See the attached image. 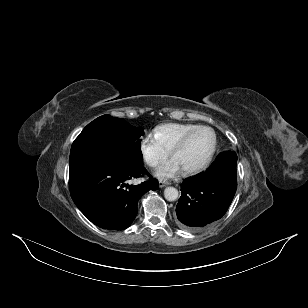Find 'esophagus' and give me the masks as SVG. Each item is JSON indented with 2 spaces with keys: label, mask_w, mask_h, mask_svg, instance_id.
I'll use <instances>...</instances> for the list:
<instances>
[{
  "label": "esophagus",
  "mask_w": 308,
  "mask_h": 308,
  "mask_svg": "<svg viewBox=\"0 0 308 308\" xmlns=\"http://www.w3.org/2000/svg\"><path fill=\"white\" fill-rule=\"evenodd\" d=\"M170 183L168 182V181H165V180H160L159 181V187L160 188H163V187H165V186H167V185H169Z\"/></svg>",
  "instance_id": "esophagus-1"
}]
</instances>
